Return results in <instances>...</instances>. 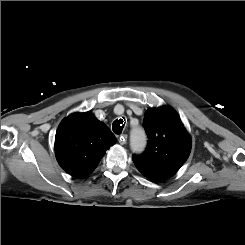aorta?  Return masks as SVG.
Instances as JSON below:
<instances>
[{
  "label": "aorta",
  "instance_id": "aorta-1",
  "mask_svg": "<svg viewBox=\"0 0 245 245\" xmlns=\"http://www.w3.org/2000/svg\"><path fill=\"white\" fill-rule=\"evenodd\" d=\"M146 146V134L142 127L138 126L131 130L130 147L134 152H141Z\"/></svg>",
  "mask_w": 245,
  "mask_h": 245
}]
</instances>
